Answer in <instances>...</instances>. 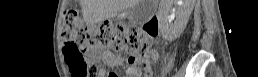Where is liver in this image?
<instances>
[{
	"mask_svg": "<svg viewBox=\"0 0 258 77\" xmlns=\"http://www.w3.org/2000/svg\"><path fill=\"white\" fill-rule=\"evenodd\" d=\"M140 0H80L85 22L96 24L114 18L127 9L133 8ZM187 1V0H186ZM174 0H161V4H172ZM185 14L183 15V20Z\"/></svg>",
	"mask_w": 258,
	"mask_h": 77,
	"instance_id": "1",
	"label": "liver"
}]
</instances>
